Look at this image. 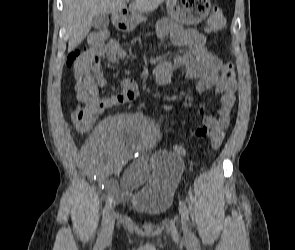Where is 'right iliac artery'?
<instances>
[{
  "mask_svg": "<svg viewBox=\"0 0 295 250\" xmlns=\"http://www.w3.org/2000/svg\"><path fill=\"white\" fill-rule=\"evenodd\" d=\"M112 201H113V198L111 196H109V198H108V200H107V202L105 204L104 210H103L101 230H100V233H99V236H98L99 241H102L103 238H104L105 228H106V225H107V222H108V219H109L110 210H111V206H112Z\"/></svg>",
  "mask_w": 295,
  "mask_h": 250,
  "instance_id": "1",
  "label": "right iliac artery"
}]
</instances>
